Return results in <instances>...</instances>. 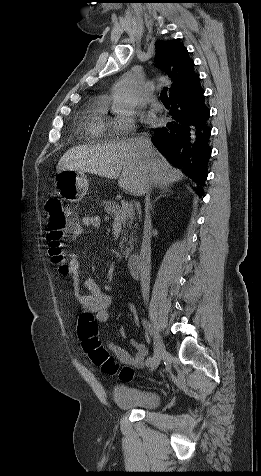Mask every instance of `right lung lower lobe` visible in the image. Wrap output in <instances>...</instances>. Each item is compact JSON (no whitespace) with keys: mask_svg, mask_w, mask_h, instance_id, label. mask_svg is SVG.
I'll return each mask as SVG.
<instances>
[{"mask_svg":"<svg viewBox=\"0 0 261 476\" xmlns=\"http://www.w3.org/2000/svg\"><path fill=\"white\" fill-rule=\"evenodd\" d=\"M170 101V121L155 129L152 143L197 184L195 190L202 194L211 156V128L210 110L199 76L189 88L170 97Z\"/></svg>","mask_w":261,"mask_h":476,"instance_id":"1","label":"right lung lower lobe"}]
</instances>
